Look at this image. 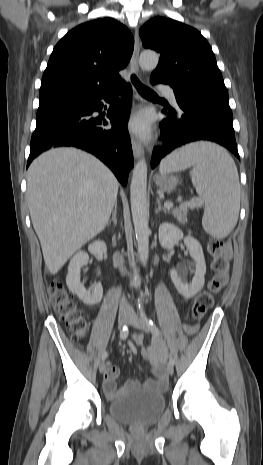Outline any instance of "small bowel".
Masks as SVG:
<instances>
[{"mask_svg": "<svg viewBox=\"0 0 263 465\" xmlns=\"http://www.w3.org/2000/svg\"><path fill=\"white\" fill-rule=\"evenodd\" d=\"M203 322H197V325L194 329L190 325H183L182 329L184 330L185 334H203ZM133 343L135 345H142L143 344V336L140 334H136L133 336ZM141 354L143 358L149 363L151 366V371L154 374V379H149L145 381L142 385L148 389L153 390H163L166 388L168 380L164 370V361L166 359L167 351L165 346L163 345L162 341L159 338H155L152 341V345L150 347H143L141 350ZM119 376V369L116 366H108L103 380V387L106 394L113 398L116 397L121 392L127 390L128 388H134L141 385L140 382L136 380L128 381L126 386L118 389L116 385V379Z\"/></svg>", "mask_w": 263, "mask_h": 465, "instance_id": "obj_1", "label": "small bowel"}]
</instances>
